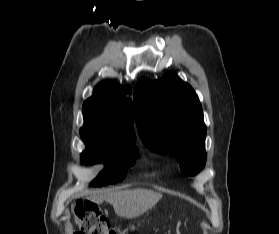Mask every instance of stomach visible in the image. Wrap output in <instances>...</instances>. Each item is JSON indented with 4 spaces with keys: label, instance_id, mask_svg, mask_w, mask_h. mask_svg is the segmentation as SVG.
Listing matches in <instances>:
<instances>
[{
    "label": "stomach",
    "instance_id": "1",
    "mask_svg": "<svg viewBox=\"0 0 279 234\" xmlns=\"http://www.w3.org/2000/svg\"><path fill=\"white\" fill-rule=\"evenodd\" d=\"M129 229L131 230H134L135 229V226L132 224V225H129Z\"/></svg>",
    "mask_w": 279,
    "mask_h": 234
}]
</instances>
